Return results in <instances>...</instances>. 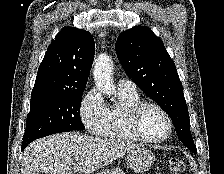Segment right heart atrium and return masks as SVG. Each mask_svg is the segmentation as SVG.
<instances>
[{
  "label": "right heart atrium",
  "mask_w": 224,
  "mask_h": 174,
  "mask_svg": "<svg viewBox=\"0 0 224 174\" xmlns=\"http://www.w3.org/2000/svg\"><path fill=\"white\" fill-rule=\"evenodd\" d=\"M85 128L92 134H99L105 121L106 105L97 89H90L82 98L79 108Z\"/></svg>",
  "instance_id": "right-heart-atrium-1"
}]
</instances>
